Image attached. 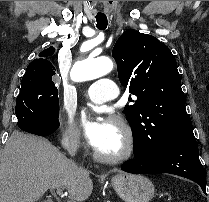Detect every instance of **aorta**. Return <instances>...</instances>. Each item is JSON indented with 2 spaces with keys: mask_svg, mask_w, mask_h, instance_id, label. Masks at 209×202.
Wrapping results in <instances>:
<instances>
[{
  "mask_svg": "<svg viewBox=\"0 0 209 202\" xmlns=\"http://www.w3.org/2000/svg\"><path fill=\"white\" fill-rule=\"evenodd\" d=\"M113 67V62L109 57L85 59L75 63L71 71V78L75 82L96 79L110 73Z\"/></svg>",
  "mask_w": 209,
  "mask_h": 202,
  "instance_id": "762f6f07",
  "label": "aorta"
}]
</instances>
